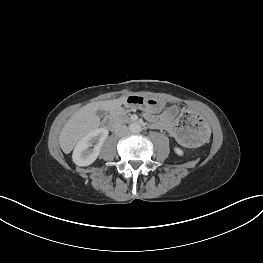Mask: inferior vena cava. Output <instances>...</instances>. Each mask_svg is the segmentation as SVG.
Instances as JSON below:
<instances>
[{
    "label": "inferior vena cava",
    "instance_id": "1",
    "mask_svg": "<svg viewBox=\"0 0 263 263\" xmlns=\"http://www.w3.org/2000/svg\"><path fill=\"white\" fill-rule=\"evenodd\" d=\"M129 133L128 127L126 125H119L115 129V134L119 137L126 136Z\"/></svg>",
    "mask_w": 263,
    "mask_h": 263
}]
</instances>
